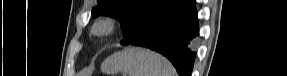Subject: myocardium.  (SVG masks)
Returning <instances> with one entry per match:
<instances>
[{"label": "myocardium", "mask_w": 287, "mask_h": 76, "mask_svg": "<svg viewBox=\"0 0 287 76\" xmlns=\"http://www.w3.org/2000/svg\"><path fill=\"white\" fill-rule=\"evenodd\" d=\"M114 29V22L111 19H103L95 23L93 33L97 36H107Z\"/></svg>", "instance_id": "myocardium-1"}]
</instances>
